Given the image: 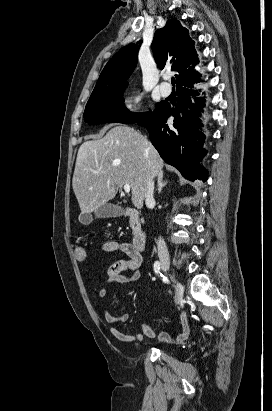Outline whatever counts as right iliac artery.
I'll return each instance as SVG.
<instances>
[{
	"label": "right iliac artery",
	"mask_w": 272,
	"mask_h": 411,
	"mask_svg": "<svg viewBox=\"0 0 272 411\" xmlns=\"http://www.w3.org/2000/svg\"><path fill=\"white\" fill-rule=\"evenodd\" d=\"M154 271L155 273L160 276L163 280L164 283H168V279L161 273L160 269H161V264L159 261H156L153 265Z\"/></svg>",
	"instance_id": "1"
}]
</instances>
